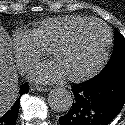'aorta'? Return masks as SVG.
<instances>
[{"mask_svg": "<svg viewBox=\"0 0 125 125\" xmlns=\"http://www.w3.org/2000/svg\"><path fill=\"white\" fill-rule=\"evenodd\" d=\"M48 103L52 110L66 112L73 104V95L66 88L58 87L49 93Z\"/></svg>", "mask_w": 125, "mask_h": 125, "instance_id": "762f6f07", "label": "aorta"}]
</instances>
